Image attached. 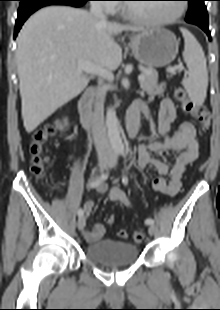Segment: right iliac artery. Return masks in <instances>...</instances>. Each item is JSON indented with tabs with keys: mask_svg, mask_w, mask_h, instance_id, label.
<instances>
[{
	"mask_svg": "<svg viewBox=\"0 0 220 310\" xmlns=\"http://www.w3.org/2000/svg\"><path fill=\"white\" fill-rule=\"evenodd\" d=\"M115 154L118 155L119 154V150H115ZM108 177V173H104L100 176V178L97 179H93L89 182V187L90 188H95L98 187L104 180H106ZM84 213V211L82 209H79L77 214L78 216H82Z\"/></svg>",
	"mask_w": 220,
	"mask_h": 310,
	"instance_id": "obj_1",
	"label": "right iliac artery"
}]
</instances>
